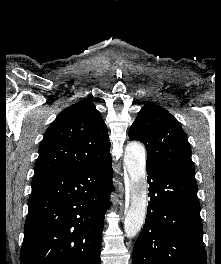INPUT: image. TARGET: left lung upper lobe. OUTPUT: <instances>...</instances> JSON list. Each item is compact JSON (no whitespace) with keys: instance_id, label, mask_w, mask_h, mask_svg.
Here are the masks:
<instances>
[{"instance_id":"1","label":"left lung upper lobe","mask_w":221,"mask_h":264,"mask_svg":"<svg viewBox=\"0 0 221 264\" xmlns=\"http://www.w3.org/2000/svg\"><path fill=\"white\" fill-rule=\"evenodd\" d=\"M129 138L145 144L146 167L195 179L186 134L166 109L154 104L143 106L129 130Z\"/></svg>"}]
</instances>
